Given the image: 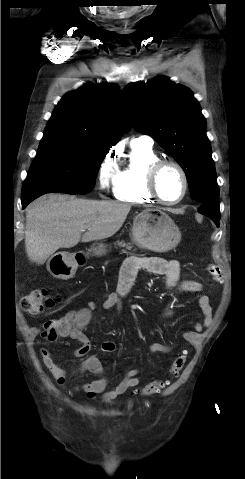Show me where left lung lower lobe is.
<instances>
[{
    "label": "left lung lower lobe",
    "mask_w": 245,
    "mask_h": 479,
    "mask_svg": "<svg viewBox=\"0 0 245 479\" xmlns=\"http://www.w3.org/2000/svg\"><path fill=\"white\" fill-rule=\"evenodd\" d=\"M198 211L199 213L210 217L217 227H219L220 210L219 202L217 200L203 204Z\"/></svg>",
    "instance_id": "left-lung-lower-lobe-1"
}]
</instances>
